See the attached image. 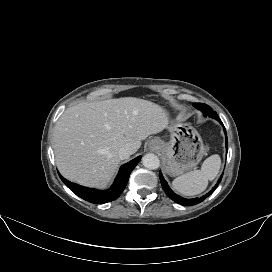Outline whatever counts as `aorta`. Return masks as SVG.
Here are the masks:
<instances>
[{"label": "aorta", "instance_id": "aorta-1", "mask_svg": "<svg viewBox=\"0 0 272 272\" xmlns=\"http://www.w3.org/2000/svg\"><path fill=\"white\" fill-rule=\"evenodd\" d=\"M142 164L144 167L154 170L160 165V160L155 154H146L142 158Z\"/></svg>", "mask_w": 272, "mask_h": 272}]
</instances>
